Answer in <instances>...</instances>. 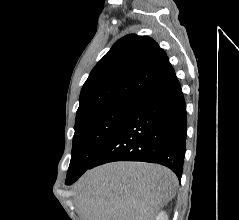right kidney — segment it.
Wrapping results in <instances>:
<instances>
[{
    "mask_svg": "<svg viewBox=\"0 0 239 220\" xmlns=\"http://www.w3.org/2000/svg\"><path fill=\"white\" fill-rule=\"evenodd\" d=\"M156 220H168V216L164 211H161L156 217Z\"/></svg>",
    "mask_w": 239,
    "mask_h": 220,
    "instance_id": "right-kidney-1",
    "label": "right kidney"
}]
</instances>
